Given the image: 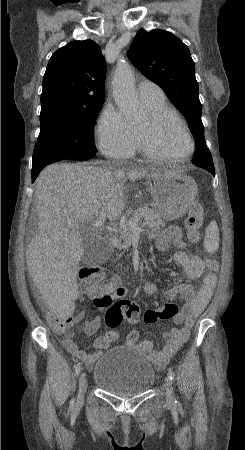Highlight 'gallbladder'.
Segmentation results:
<instances>
[{
    "instance_id": "1",
    "label": "gallbladder",
    "mask_w": 245,
    "mask_h": 450,
    "mask_svg": "<svg viewBox=\"0 0 245 450\" xmlns=\"http://www.w3.org/2000/svg\"><path fill=\"white\" fill-rule=\"evenodd\" d=\"M82 248V260L86 264L103 262L109 254V248L98 239L84 237Z\"/></svg>"
}]
</instances>
